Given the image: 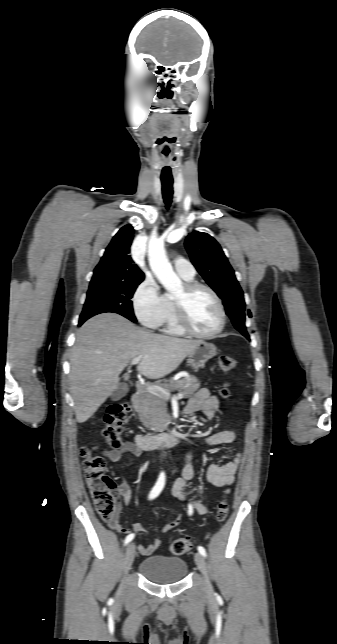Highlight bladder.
I'll return each instance as SVG.
<instances>
[{"label": "bladder", "instance_id": "31cf9c89", "mask_svg": "<svg viewBox=\"0 0 337 644\" xmlns=\"http://www.w3.org/2000/svg\"><path fill=\"white\" fill-rule=\"evenodd\" d=\"M187 571L188 567L183 559L165 555L149 556L139 564L140 574L159 584L179 582L185 578Z\"/></svg>", "mask_w": 337, "mask_h": 644}]
</instances>
